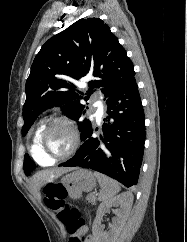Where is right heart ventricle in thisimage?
<instances>
[{"instance_id":"e07e8e85","label":"right heart ventricle","mask_w":187,"mask_h":242,"mask_svg":"<svg viewBox=\"0 0 187 242\" xmlns=\"http://www.w3.org/2000/svg\"><path fill=\"white\" fill-rule=\"evenodd\" d=\"M44 124L41 123L37 129L35 130L33 137H32V143H31V154L34 158V160L40 164L41 166H49L52 165L54 162L48 158H46L39 149V137L40 134L44 128Z\"/></svg>"}]
</instances>
